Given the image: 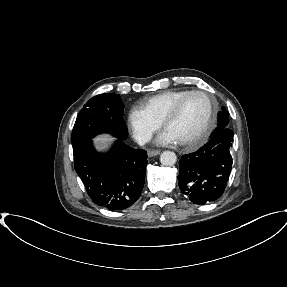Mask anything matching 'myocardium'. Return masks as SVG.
<instances>
[{
  "label": "myocardium",
  "instance_id": "obj_1",
  "mask_svg": "<svg viewBox=\"0 0 287 287\" xmlns=\"http://www.w3.org/2000/svg\"><path fill=\"white\" fill-rule=\"evenodd\" d=\"M195 95H201L203 97H205L209 103V116H208V120L206 123L205 128L203 129V131L194 139L188 140V141H184L179 143L181 146L186 147V148H196L199 145H201L202 143L205 142V140L209 137V135L211 134V132L213 131L215 124H216V114H217V106H216V102L215 100L212 98V96H210L208 93L204 92V91H199V90H194L189 92L188 94H186L185 96H183L182 98H180L173 106L172 108L167 112V114L164 116L163 120H162V127L165 129L166 125L172 121L173 119H175L177 117V115L179 114L182 106L184 105V103L192 96Z\"/></svg>",
  "mask_w": 287,
  "mask_h": 287
}]
</instances>
